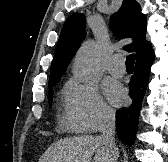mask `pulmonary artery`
Instances as JSON below:
<instances>
[{
  "label": "pulmonary artery",
  "instance_id": "pulmonary-artery-1",
  "mask_svg": "<svg viewBox=\"0 0 168 162\" xmlns=\"http://www.w3.org/2000/svg\"><path fill=\"white\" fill-rule=\"evenodd\" d=\"M107 70L110 74L118 77L125 74L124 62L121 59L120 55L115 54L110 58L107 64Z\"/></svg>",
  "mask_w": 168,
  "mask_h": 162
}]
</instances>
